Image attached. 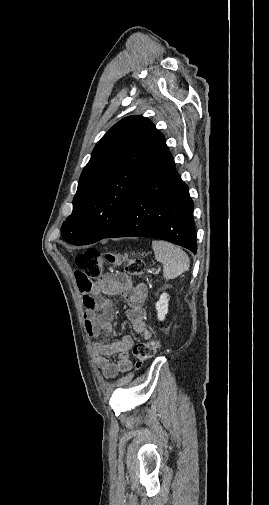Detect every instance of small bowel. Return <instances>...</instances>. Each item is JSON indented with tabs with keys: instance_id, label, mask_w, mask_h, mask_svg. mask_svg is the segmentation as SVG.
Wrapping results in <instances>:
<instances>
[{
	"instance_id": "small-bowel-1",
	"label": "small bowel",
	"mask_w": 269,
	"mask_h": 505,
	"mask_svg": "<svg viewBox=\"0 0 269 505\" xmlns=\"http://www.w3.org/2000/svg\"><path fill=\"white\" fill-rule=\"evenodd\" d=\"M74 274L76 289L83 294L86 307L84 324L86 332L92 338L96 365L107 379L115 378L119 373H127L131 369L132 338L123 336L112 342L103 340L114 332V308L110 297L120 296L126 302V318L133 331L149 339L151 334L146 326L144 309L147 288L144 285H133L130 278L121 272L104 275L102 271L99 281H90L84 268H77ZM112 355H118L117 362L109 359Z\"/></svg>"
}]
</instances>
